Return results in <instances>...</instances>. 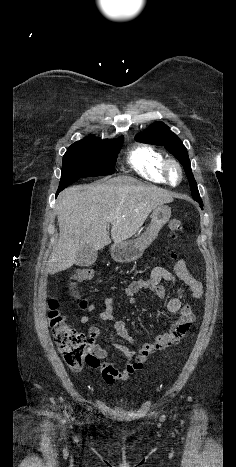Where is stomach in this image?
<instances>
[{"label": "stomach", "instance_id": "1", "mask_svg": "<svg viewBox=\"0 0 236 467\" xmlns=\"http://www.w3.org/2000/svg\"><path fill=\"white\" fill-rule=\"evenodd\" d=\"M171 208L158 205L151 214V223L147 230L134 240L114 243L111 246V256L116 262L127 263L140 258L144 250L157 238L160 229L168 222Z\"/></svg>", "mask_w": 236, "mask_h": 467}]
</instances>
